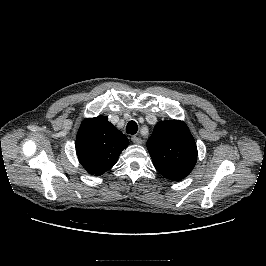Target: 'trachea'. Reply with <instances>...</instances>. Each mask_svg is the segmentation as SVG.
Masks as SVG:
<instances>
[{
	"instance_id": "obj_1",
	"label": "trachea",
	"mask_w": 266,
	"mask_h": 266,
	"mask_svg": "<svg viewBox=\"0 0 266 266\" xmlns=\"http://www.w3.org/2000/svg\"><path fill=\"white\" fill-rule=\"evenodd\" d=\"M137 130H138V126L135 121H130L126 126V132L128 134L134 135L137 133Z\"/></svg>"
}]
</instances>
